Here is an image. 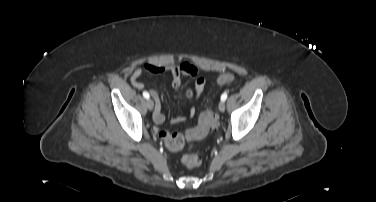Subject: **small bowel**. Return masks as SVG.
<instances>
[{"label": "small bowel", "instance_id": "obj_1", "mask_svg": "<svg viewBox=\"0 0 376 202\" xmlns=\"http://www.w3.org/2000/svg\"><path fill=\"white\" fill-rule=\"evenodd\" d=\"M163 75L166 74L170 77L171 85L174 88H178L182 84V77H190L194 80L193 87L186 88L185 95L188 98L199 99L205 88V80L199 76L198 70L190 63L184 62L179 65H160V64H144L142 67L136 69L131 75V84L137 88L142 89L143 83L140 81V77L145 74ZM154 101L155 109L153 112V120L157 124L164 122V114L162 112V105L160 101L159 93L156 90L150 91ZM196 113L194 108H190L187 112L189 117H193ZM185 120L184 116H177L172 119L173 123H180Z\"/></svg>", "mask_w": 376, "mask_h": 202}]
</instances>
